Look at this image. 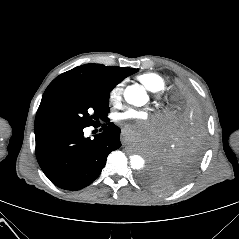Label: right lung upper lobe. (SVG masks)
Here are the masks:
<instances>
[{"label": "right lung upper lobe", "mask_w": 239, "mask_h": 239, "mask_svg": "<svg viewBox=\"0 0 239 239\" xmlns=\"http://www.w3.org/2000/svg\"><path fill=\"white\" fill-rule=\"evenodd\" d=\"M138 69L128 67L86 64L71 69L56 77L45 90V98L54 91L68 88L114 87Z\"/></svg>", "instance_id": "obj_1"}]
</instances>
